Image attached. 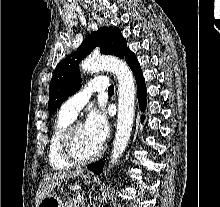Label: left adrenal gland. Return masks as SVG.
Returning a JSON list of instances; mask_svg holds the SVG:
<instances>
[{"mask_svg": "<svg viewBox=\"0 0 220 207\" xmlns=\"http://www.w3.org/2000/svg\"><path fill=\"white\" fill-rule=\"evenodd\" d=\"M92 204H94V202L92 200H90V205L88 207H90Z\"/></svg>", "mask_w": 220, "mask_h": 207, "instance_id": "obj_1", "label": "left adrenal gland"}]
</instances>
